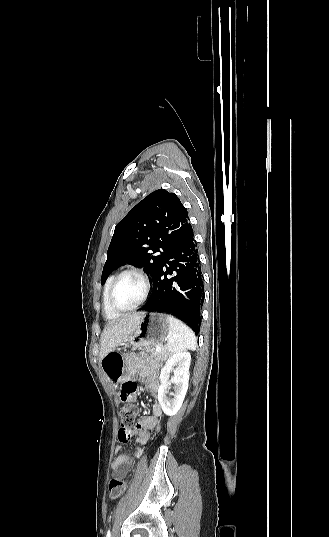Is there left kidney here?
Here are the masks:
<instances>
[{
	"label": "left kidney",
	"instance_id": "5707ae66",
	"mask_svg": "<svg viewBox=\"0 0 329 537\" xmlns=\"http://www.w3.org/2000/svg\"><path fill=\"white\" fill-rule=\"evenodd\" d=\"M191 363L190 353L184 351L171 355L161 370L160 382L158 388V401L163 412L168 416L177 414L182 406L188 389L189 366ZM174 372V376L169 380L170 372ZM170 383L174 384L173 398L168 399L166 393Z\"/></svg>",
	"mask_w": 329,
	"mask_h": 537
}]
</instances>
